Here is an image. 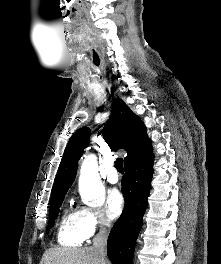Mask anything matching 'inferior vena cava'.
<instances>
[{
	"instance_id": "obj_1",
	"label": "inferior vena cava",
	"mask_w": 221,
	"mask_h": 264,
	"mask_svg": "<svg viewBox=\"0 0 221 264\" xmlns=\"http://www.w3.org/2000/svg\"><path fill=\"white\" fill-rule=\"evenodd\" d=\"M110 223L107 220L102 222L99 232L93 239V250L97 255L101 264H106V245L108 238V230L105 226L109 227Z\"/></svg>"
}]
</instances>
